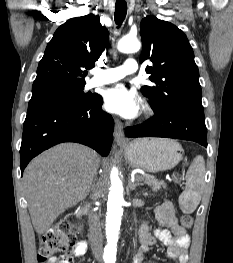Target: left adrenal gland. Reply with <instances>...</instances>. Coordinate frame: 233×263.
I'll list each match as a JSON object with an SVG mask.
<instances>
[{
	"instance_id": "1",
	"label": "left adrenal gland",
	"mask_w": 233,
	"mask_h": 263,
	"mask_svg": "<svg viewBox=\"0 0 233 263\" xmlns=\"http://www.w3.org/2000/svg\"><path fill=\"white\" fill-rule=\"evenodd\" d=\"M142 185L140 182L132 183L131 180H128V186L131 191L135 190L136 186Z\"/></svg>"
}]
</instances>
